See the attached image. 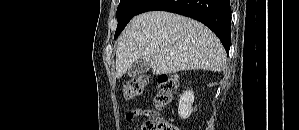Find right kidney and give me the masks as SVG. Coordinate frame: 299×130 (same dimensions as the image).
Wrapping results in <instances>:
<instances>
[{"label":"right kidney","instance_id":"1","mask_svg":"<svg viewBox=\"0 0 299 130\" xmlns=\"http://www.w3.org/2000/svg\"><path fill=\"white\" fill-rule=\"evenodd\" d=\"M194 93L192 90L184 92L179 99L178 114L181 118L187 119L192 113Z\"/></svg>","mask_w":299,"mask_h":130}]
</instances>
